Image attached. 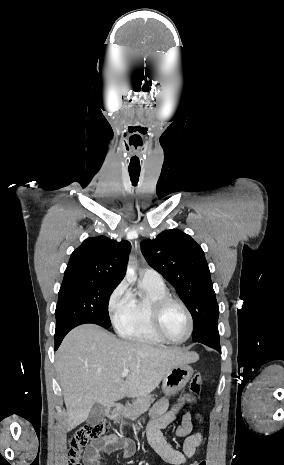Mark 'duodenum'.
Listing matches in <instances>:
<instances>
[{"label":"duodenum","instance_id":"1","mask_svg":"<svg viewBox=\"0 0 284 465\" xmlns=\"http://www.w3.org/2000/svg\"><path fill=\"white\" fill-rule=\"evenodd\" d=\"M120 411H121L120 405L114 404L108 409L107 414L109 415L110 418H115L119 415Z\"/></svg>","mask_w":284,"mask_h":465}]
</instances>
